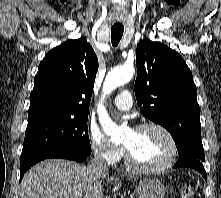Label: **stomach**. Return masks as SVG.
Returning a JSON list of instances; mask_svg holds the SVG:
<instances>
[{
	"instance_id": "1",
	"label": "stomach",
	"mask_w": 221,
	"mask_h": 198,
	"mask_svg": "<svg viewBox=\"0 0 221 198\" xmlns=\"http://www.w3.org/2000/svg\"><path fill=\"white\" fill-rule=\"evenodd\" d=\"M137 198H163L165 187L162 182L154 178L141 181L136 189Z\"/></svg>"
}]
</instances>
